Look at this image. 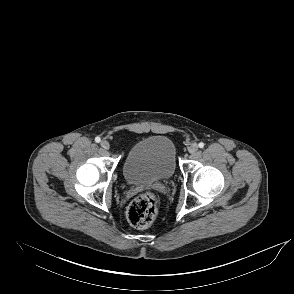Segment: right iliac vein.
Masks as SVG:
<instances>
[{
    "instance_id": "1",
    "label": "right iliac vein",
    "mask_w": 294,
    "mask_h": 294,
    "mask_svg": "<svg viewBox=\"0 0 294 294\" xmlns=\"http://www.w3.org/2000/svg\"><path fill=\"white\" fill-rule=\"evenodd\" d=\"M101 147H102L103 149H105V150H109V148H110V144H109L108 141L103 140V141H101Z\"/></svg>"
}]
</instances>
